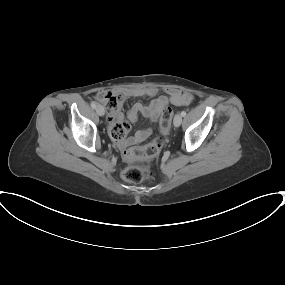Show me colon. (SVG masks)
Wrapping results in <instances>:
<instances>
[{"label": "colon", "instance_id": "obj_1", "mask_svg": "<svg viewBox=\"0 0 285 285\" xmlns=\"http://www.w3.org/2000/svg\"><path fill=\"white\" fill-rule=\"evenodd\" d=\"M98 100L103 103L108 113H117L122 106V99L112 93L102 92L98 95ZM172 110L167 108L163 111L160 118V129L162 132H167L172 123ZM129 130L127 123H122L119 126L110 130L111 138L117 142H122ZM163 147V140L161 137L154 138L147 144L137 147H128L124 151V157L127 160L143 159L144 162L140 165L128 166L124 172L123 177L133 183H139L151 178V167L149 159L157 156Z\"/></svg>", "mask_w": 285, "mask_h": 285}]
</instances>
